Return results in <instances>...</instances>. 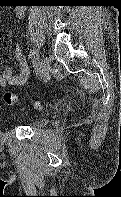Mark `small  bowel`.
<instances>
[{
    "label": "small bowel",
    "mask_w": 121,
    "mask_h": 197,
    "mask_svg": "<svg viewBox=\"0 0 121 197\" xmlns=\"http://www.w3.org/2000/svg\"><path fill=\"white\" fill-rule=\"evenodd\" d=\"M16 13L19 17H22L24 15V9L17 8ZM16 61L19 66V72L17 74H13L10 68L5 69L0 75V87L5 88L7 86H21L28 81L30 69L25 56L19 47L16 48Z\"/></svg>",
    "instance_id": "1"
}]
</instances>
